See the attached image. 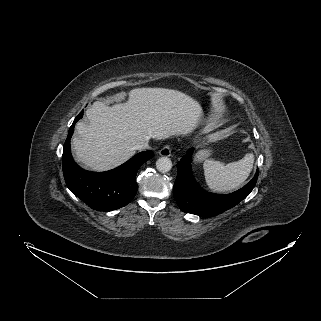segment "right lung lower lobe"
I'll use <instances>...</instances> for the list:
<instances>
[{
  "label": "right lung lower lobe",
  "mask_w": 321,
  "mask_h": 321,
  "mask_svg": "<svg viewBox=\"0 0 321 321\" xmlns=\"http://www.w3.org/2000/svg\"><path fill=\"white\" fill-rule=\"evenodd\" d=\"M83 117V111L72 123L63 146L62 166L67 187L94 210L112 211L126 206L138 190L136 174L146 161L154 156L152 151L136 154L121 166L106 172H88L74 161L70 151V139L76 122Z\"/></svg>",
  "instance_id": "1"
}]
</instances>
